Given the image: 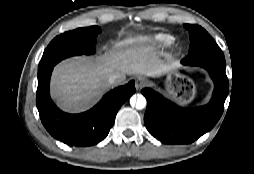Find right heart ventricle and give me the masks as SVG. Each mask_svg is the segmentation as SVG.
Returning a JSON list of instances; mask_svg holds the SVG:
<instances>
[{
	"mask_svg": "<svg viewBox=\"0 0 254 174\" xmlns=\"http://www.w3.org/2000/svg\"><path fill=\"white\" fill-rule=\"evenodd\" d=\"M142 39L147 42L149 45H152L157 48H166L171 46L175 39L173 36L165 33H158L150 36H144Z\"/></svg>",
	"mask_w": 254,
	"mask_h": 174,
	"instance_id": "obj_1",
	"label": "right heart ventricle"
}]
</instances>
